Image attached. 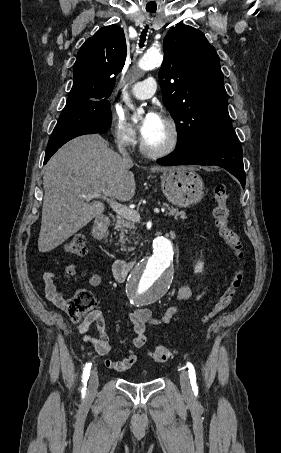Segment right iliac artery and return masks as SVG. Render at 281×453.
<instances>
[{"label": "right iliac artery", "mask_w": 281, "mask_h": 453, "mask_svg": "<svg viewBox=\"0 0 281 453\" xmlns=\"http://www.w3.org/2000/svg\"><path fill=\"white\" fill-rule=\"evenodd\" d=\"M91 365H92V363H86L85 368L83 370L82 382L84 383V388H82V390H86V384H87V380L90 375Z\"/></svg>", "instance_id": "82829eb1"}]
</instances>
